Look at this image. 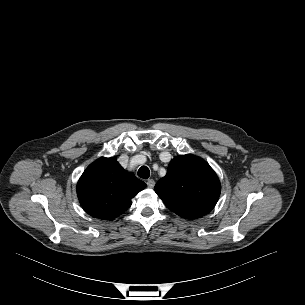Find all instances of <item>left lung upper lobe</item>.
<instances>
[{
  "mask_svg": "<svg viewBox=\"0 0 305 305\" xmlns=\"http://www.w3.org/2000/svg\"><path fill=\"white\" fill-rule=\"evenodd\" d=\"M221 185L216 173L203 159L188 154L175 157L167 174L155 185V192L177 215L196 219L216 205Z\"/></svg>",
  "mask_w": 305,
  "mask_h": 305,
  "instance_id": "1",
  "label": "left lung upper lobe"
}]
</instances>
